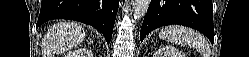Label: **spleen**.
Here are the masks:
<instances>
[{"label":"spleen","instance_id":"spleen-1","mask_svg":"<svg viewBox=\"0 0 249 57\" xmlns=\"http://www.w3.org/2000/svg\"><path fill=\"white\" fill-rule=\"evenodd\" d=\"M159 37L170 43L198 49L203 57H209L210 55L206 39L190 28L170 25L160 31Z\"/></svg>","mask_w":249,"mask_h":57}]
</instances>
